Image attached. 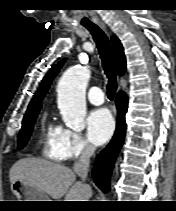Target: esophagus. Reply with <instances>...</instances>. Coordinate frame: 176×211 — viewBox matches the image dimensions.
<instances>
[{
	"instance_id": "1",
	"label": "esophagus",
	"mask_w": 176,
	"mask_h": 211,
	"mask_svg": "<svg viewBox=\"0 0 176 211\" xmlns=\"http://www.w3.org/2000/svg\"><path fill=\"white\" fill-rule=\"evenodd\" d=\"M102 25V27H104L105 28V25L104 24H101Z\"/></svg>"
}]
</instances>
